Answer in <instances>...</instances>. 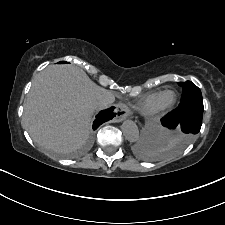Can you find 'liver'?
I'll list each match as a JSON object with an SVG mask.
<instances>
[{
    "label": "liver",
    "instance_id": "liver-1",
    "mask_svg": "<svg viewBox=\"0 0 225 225\" xmlns=\"http://www.w3.org/2000/svg\"><path fill=\"white\" fill-rule=\"evenodd\" d=\"M114 94L74 65H51L40 72L27 96L22 122L44 148L68 153L80 148L90 132L97 103Z\"/></svg>",
    "mask_w": 225,
    "mask_h": 225
}]
</instances>
